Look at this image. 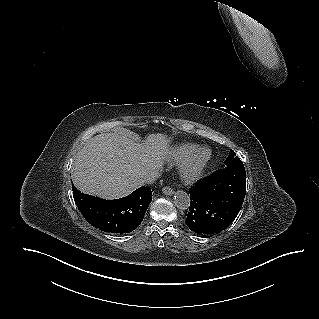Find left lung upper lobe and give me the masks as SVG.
<instances>
[{
  "mask_svg": "<svg viewBox=\"0 0 319 319\" xmlns=\"http://www.w3.org/2000/svg\"><path fill=\"white\" fill-rule=\"evenodd\" d=\"M225 168L245 170L243 162L236 156L233 150H230L229 156L225 161Z\"/></svg>",
  "mask_w": 319,
  "mask_h": 319,
  "instance_id": "left-lung-upper-lobe-1",
  "label": "left lung upper lobe"
}]
</instances>
